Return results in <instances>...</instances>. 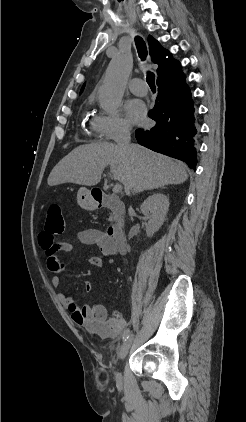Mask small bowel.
<instances>
[{
  "instance_id": "c3829d8e",
  "label": "small bowel",
  "mask_w": 246,
  "mask_h": 422,
  "mask_svg": "<svg viewBox=\"0 0 246 422\" xmlns=\"http://www.w3.org/2000/svg\"><path fill=\"white\" fill-rule=\"evenodd\" d=\"M78 240L86 245H97L104 256L116 254L117 249L112 243L109 235L99 229L85 228L78 232ZM39 244L46 255L48 269L53 273L51 283L54 287L60 286V273L63 264L59 258L60 252L73 251V245L68 242H58L55 234H51L46 229L39 234ZM87 262L95 267L103 266V258L91 256ZM92 282H86L87 291L93 289ZM58 299L71 314L73 321L89 332L96 333L102 337L115 338L127 325L125 317L120 312H114L110 317L105 306L100 304H90L79 308L73 299L63 292H58Z\"/></svg>"
}]
</instances>
